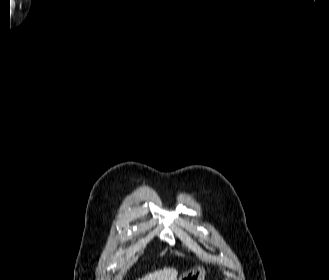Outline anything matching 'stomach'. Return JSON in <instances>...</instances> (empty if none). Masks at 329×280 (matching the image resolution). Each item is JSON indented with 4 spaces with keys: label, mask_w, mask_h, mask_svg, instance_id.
Masks as SVG:
<instances>
[{
    "label": "stomach",
    "mask_w": 329,
    "mask_h": 280,
    "mask_svg": "<svg viewBox=\"0 0 329 280\" xmlns=\"http://www.w3.org/2000/svg\"><path fill=\"white\" fill-rule=\"evenodd\" d=\"M178 280H205V269L203 267H195L184 274Z\"/></svg>",
    "instance_id": "0dacf381"
}]
</instances>
